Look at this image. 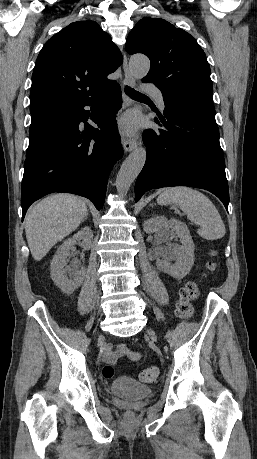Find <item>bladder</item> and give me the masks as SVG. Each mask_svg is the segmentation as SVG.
Instances as JSON below:
<instances>
[{"label":"bladder","mask_w":257,"mask_h":459,"mask_svg":"<svg viewBox=\"0 0 257 459\" xmlns=\"http://www.w3.org/2000/svg\"><path fill=\"white\" fill-rule=\"evenodd\" d=\"M110 393L128 400H138L151 396L153 389L134 379L119 377L111 385Z\"/></svg>","instance_id":"31cf9c89"}]
</instances>
